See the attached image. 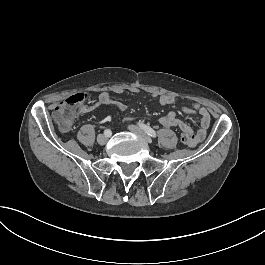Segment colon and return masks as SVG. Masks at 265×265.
Segmentation results:
<instances>
[{"instance_id": "colon-1", "label": "colon", "mask_w": 265, "mask_h": 265, "mask_svg": "<svg viewBox=\"0 0 265 265\" xmlns=\"http://www.w3.org/2000/svg\"><path fill=\"white\" fill-rule=\"evenodd\" d=\"M88 99V95L85 92H82L76 96H73L67 99L66 104L56 108L55 119L63 126H69L73 119V112L67 108V106H75ZM89 99H93V96H89ZM182 141L191 146V136L187 135L185 131L182 133Z\"/></svg>"}]
</instances>
